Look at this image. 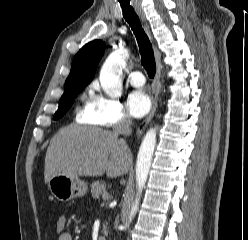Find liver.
I'll use <instances>...</instances> for the list:
<instances>
[{"instance_id": "liver-1", "label": "liver", "mask_w": 248, "mask_h": 240, "mask_svg": "<svg viewBox=\"0 0 248 240\" xmlns=\"http://www.w3.org/2000/svg\"><path fill=\"white\" fill-rule=\"evenodd\" d=\"M132 154L115 132L95 127L70 125L52 138L45 156V182L56 175L72 178L101 176L109 178L126 174Z\"/></svg>"}]
</instances>
